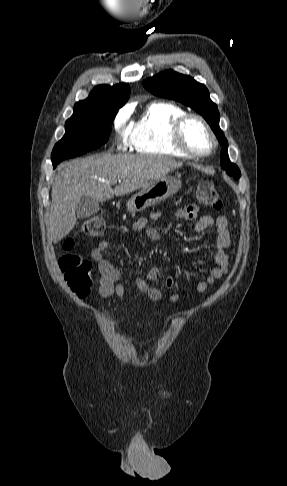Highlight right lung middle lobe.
<instances>
[{"mask_svg": "<svg viewBox=\"0 0 287 486\" xmlns=\"http://www.w3.org/2000/svg\"><path fill=\"white\" fill-rule=\"evenodd\" d=\"M117 111L102 108L74 109L65 123V135L54 146L53 167L62 160L94 150L107 142L111 123Z\"/></svg>", "mask_w": 287, "mask_h": 486, "instance_id": "obj_1", "label": "right lung middle lobe"}]
</instances>
